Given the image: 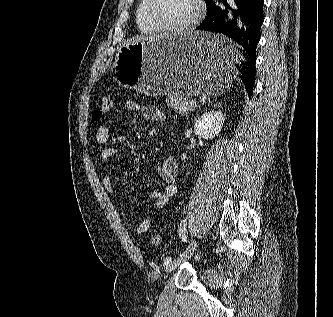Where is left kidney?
Segmentation results:
<instances>
[{
  "label": "left kidney",
  "mask_w": 333,
  "mask_h": 317,
  "mask_svg": "<svg viewBox=\"0 0 333 317\" xmlns=\"http://www.w3.org/2000/svg\"><path fill=\"white\" fill-rule=\"evenodd\" d=\"M225 115L221 111H209L202 114L194 124V133L205 139H213L221 131Z\"/></svg>",
  "instance_id": "1"
}]
</instances>
